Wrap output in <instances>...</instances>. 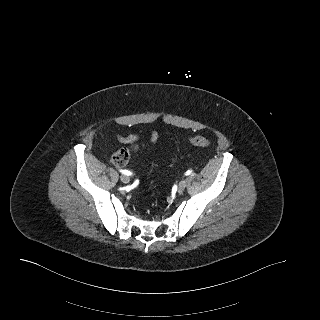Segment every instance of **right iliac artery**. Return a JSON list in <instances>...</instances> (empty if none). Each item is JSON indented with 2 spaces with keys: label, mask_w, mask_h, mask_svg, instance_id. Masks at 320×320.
<instances>
[{
  "label": "right iliac artery",
  "mask_w": 320,
  "mask_h": 320,
  "mask_svg": "<svg viewBox=\"0 0 320 320\" xmlns=\"http://www.w3.org/2000/svg\"><path fill=\"white\" fill-rule=\"evenodd\" d=\"M119 171H120L122 174H124V175H131V172L128 171V170H122V169H120Z\"/></svg>",
  "instance_id": "1"
}]
</instances>
